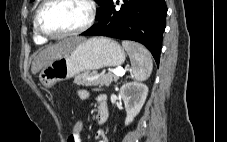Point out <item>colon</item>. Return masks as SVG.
<instances>
[{"instance_id": "colon-1", "label": "colon", "mask_w": 227, "mask_h": 142, "mask_svg": "<svg viewBox=\"0 0 227 142\" xmlns=\"http://www.w3.org/2000/svg\"><path fill=\"white\" fill-rule=\"evenodd\" d=\"M84 125L81 119L77 118L72 127L71 135L74 137H80L83 133Z\"/></svg>"}]
</instances>
